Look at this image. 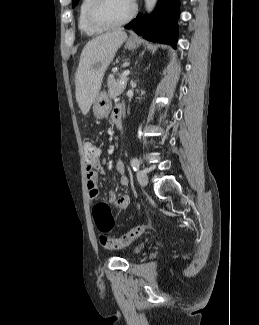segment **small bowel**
Segmentation results:
<instances>
[{
    "instance_id": "obj_1",
    "label": "small bowel",
    "mask_w": 259,
    "mask_h": 325,
    "mask_svg": "<svg viewBox=\"0 0 259 325\" xmlns=\"http://www.w3.org/2000/svg\"><path fill=\"white\" fill-rule=\"evenodd\" d=\"M117 116L122 117V107L116 105L111 113V119L114 122ZM100 150L98 148V156L94 160L86 159L87 163V189L88 195L91 199H95L98 196L99 189L97 185L98 176L104 173L102 164L100 163ZM116 168L121 174L119 183L122 187H126L129 184L128 177L124 174V164L122 161H118ZM108 200L112 202L117 210H123L130 204V197L128 195H121L115 191H111L108 194Z\"/></svg>"
}]
</instances>
